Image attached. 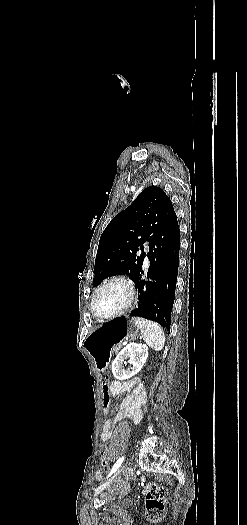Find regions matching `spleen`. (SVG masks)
Segmentation results:
<instances>
[{
	"label": "spleen",
	"mask_w": 247,
	"mask_h": 525,
	"mask_svg": "<svg viewBox=\"0 0 247 525\" xmlns=\"http://www.w3.org/2000/svg\"><path fill=\"white\" fill-rule=\"evenodd\" d=\"M133 321L140 329L146 345L154 349V351H162L165 345V335L162 327L158 323H153V321H148V319H141V317H134Z\"/></svg>",
	"instance_id": "obj_1"
}]
</instances>
